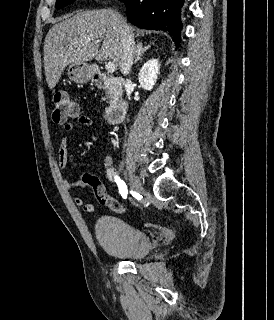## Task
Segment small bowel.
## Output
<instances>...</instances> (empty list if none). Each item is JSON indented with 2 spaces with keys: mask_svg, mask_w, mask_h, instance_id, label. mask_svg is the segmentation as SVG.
I'll list each match as a JSON object with an SVG mask.
<instances>
[{
  "mask_svg": "<svg viewBox=\"0 0 274 320\" xmlns=\"http://www.w3.org/2000/svg\"><path fill=\"white\" fill-rule=\"evenodd\" d=\"M92 124V121L89 117L76 114L75 118L70 121L67 125L64 126V135L60 140V144L58 147V167L60 170H65L68 165L69 160V137L70 133L76 127H88ZM113 160L112 157L107 155L103 160V169L106 173H110L112 169ZM88 175H92L89 173H85ZM64 187L68 191L84 188L88 186L86 181H83L82 178L78 181H71L69 179H65L63 181ZM74 203L77 206H81L83 211L86 213H92L94 211V205L92 203H85L82 196H75Z\"/></svg>",
  "mask_w": 274,
  "mask_h": 320,
  "instance_id": "1",
  "label": "small bowel"
}]
</instances>
